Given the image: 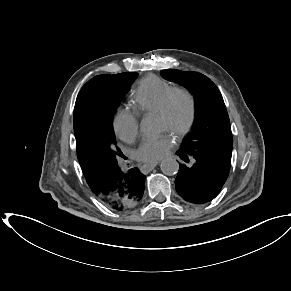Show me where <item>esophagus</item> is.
<instances>
[{
    "mask_svg": "<svg viewBox=\"0 0 291 291\" xmlns=\"http://www.w3.org/2000/svg\"><path fill=\"white\" fill-rule=\"evenodd\" d=\"M158 164H159V161L148 163V164H145V168L148 169V170H151L154 167H156Z\"/></svg>",
    "mask_w": 291,
    "mask_h": 291,
    "instance_id": "obj_1",
    "label": "esophagus"
}]
</instances>
